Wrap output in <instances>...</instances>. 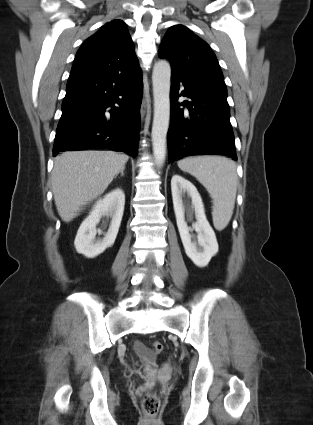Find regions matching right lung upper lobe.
Wrapping results in <instances>:
<instances>
[{"label":"right lung upper lobe","mask_w":313,"mask_h":425,"mask_svg":"<svg viewBox=\"0 0 313 425\" xmlns=\"http://www.w3.org/2000/svg\"><path fill=\"white\" fill-rule=\"evenodd\" d=\"M138 66L127 26L122 20L115 19L85 40L75 56L71 73L110 68L131 71Z\"/></svg>","instance_id":"1"}]
</instances>
